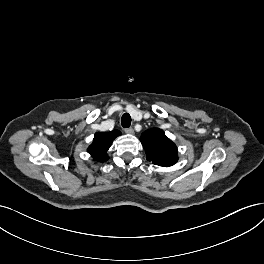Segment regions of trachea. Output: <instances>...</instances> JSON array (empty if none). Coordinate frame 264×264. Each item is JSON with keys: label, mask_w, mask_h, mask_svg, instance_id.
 Returning a JSON list of instances; mask_svg holds the SVG:
<instances>
[{"label": "trachea", "mask_w": 264, "mask_h": 264, "mask_svg": "<svg viewBox=\"0 0 264 264\" xmlns=\"http://www.w3.org/2000/svg\"><path fill=\"white\" fill-rule=\"evenodd\" d=\"M121 125L124 128H129L131 125V116L128 113H124L121 117Z\"/></svg>", "instance_id": "1"}]
</instances>
